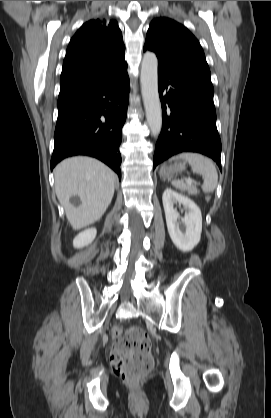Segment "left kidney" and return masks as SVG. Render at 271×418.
Here are the masks:
<instances>
[{
    "label": "left kidney",
    "instance_id": "left-kidney-1",
    "mask_svg": "<svg viewBox=\"0 0 271 418\" xmlns=\"http://www.w3.org/2000/svg\"><path fill=\"white\" fill-rule=\"evenodd\" d=\"M163 207L169 235L174 245L183 252L191 251L200 241L202 232V215L199 207L189 199L170 188H167L162 196ZM183 205L187 210L182 218L185 229H181L178 223L179 213L174 204Z\"/></svg>",
    "mask_w": 271,
    "mask_h": 418
}]
</instances>
